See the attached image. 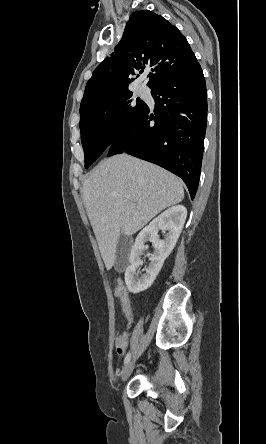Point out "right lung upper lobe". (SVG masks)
<instances>
[{
  "instance_id": "obj_1",
  "label": "right lung upper lobe",
  "mask_w": 266,
  "mask_h": 444,
  "mask_svg": "<svg viewBox=\"0 0 266 444\" xmlns=\"http://www.w3.org/2000/svg\"><path fill=\"white\" fill-rule=\"evenodd\" d=\"M198 61L176 26L149 10L131 14L122 39L111 57H106L87 82L81 105L106 94L128 89L132 76L153 67L150 88L181 75Z\"/></svg>"
}]
</instances>
